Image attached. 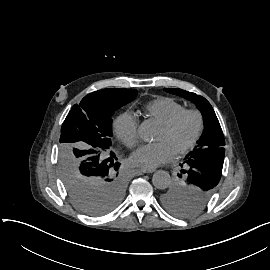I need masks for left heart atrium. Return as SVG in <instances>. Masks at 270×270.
Here are the masks:
<instances>
[{
  "label": "left heart atrium",
  "instance_id": "39dd6f15",
  "mask_svg": "<svg viewBox=\"0 0 270 270\" xmlns=\"http://www.w3.org/2000/svg\"><path fill=\"white\" fill-rule=\"evenodd\" d=\"M175 154V147L168 141H159L141 146L133 155L132 161L140 168L153 170L168 162Z\"/></svg>",
  "mask_w": 270,
  "mask_h": 270
}]
</instances>
